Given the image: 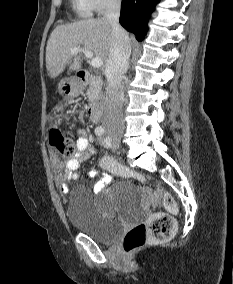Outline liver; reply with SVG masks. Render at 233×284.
I'll return each instance as SVG.
<instances>
[{
  "label": "liver",
  "instance_id": "liver-1",
  "mask_svg": "<svg viewBox=\"0 0 233 284\" xmlns=\"http://www.w3.org/2000/svg\"><path fill=\"white\" fill-rule=\"evenodd\" d=\"M112 27L104 18L84 19L57 26L46 46V67L50 78L61 74L66 65L70 70L81 69V52L72 54L70 49L83 46L105 63L112 48ZM72 57H74L72 61Z\"/></svg>",
  "mask_w": 233,
  "mask_h": 284
}]
</instances>
